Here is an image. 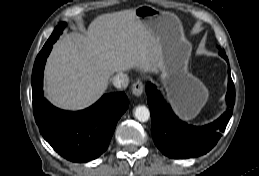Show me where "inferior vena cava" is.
<instances>
[{
    "label": "inferior vena cava",
    "mask_w": 259,
    "mask_h": 176,
    "mask_svg": "<svg viewBox=\"0 0 259 176\" xmlns=\"http://www.w3.org/2000/svg\"><path fill=\"white\" fill-rule=\"evenodd\" d=\"M111 82L114 87L124 89L129 84V78L125 73L120 72L111 78Z\"/></svg>",
    "instance_id": "602c4592"
}]
</instances>
